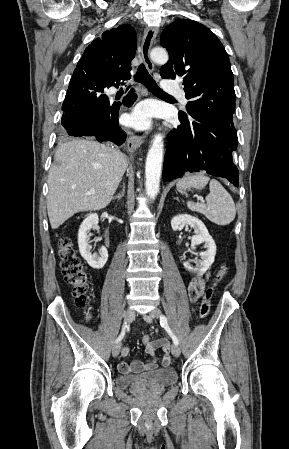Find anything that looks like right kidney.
<instances>
[{
  "label": "right kidney",
  "instance_id": "right-kidney-1",
  "mask_svg": "<svg viewBox=\"0 0 289 449\" xmlns=\"http://www.w3.org/2000/svg\"><path fill=\"white\" fill-rule=\"evenodd\" d=\"M98 222V215L96 213L90 214L83 220L78 231V246L80 254L93 269L103 268L108 260V251L104 246L100 248L99 254H92L90 252L91 246L89 245V239L91 234H89V232L92 228H95L98 225Z\"/></svg>",
  "mask_w": 289,
  "mask_h": 449
}]
</instances>
